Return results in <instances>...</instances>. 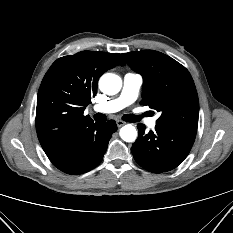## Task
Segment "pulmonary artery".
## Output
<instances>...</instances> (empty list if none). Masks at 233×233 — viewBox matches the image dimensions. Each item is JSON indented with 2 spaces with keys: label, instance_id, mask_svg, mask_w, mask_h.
I'll list each match as a JSON object with an SVG mask.
<instances>
[{
  "label": "pulmonary artery",
  "instance_id": "1",
  "mask_svg": "<svg viewBox=\"0 0 233 233\" xmlns=\"http://www.w3.org/2000/svg\"><path fill=\"white\" fill-rule=\"evenodd\" d=\"M143 79L140 75L134 73H127L123 79V87L119 97L95 105L93 110L101 113H115L128 105L132 104L138 97ZM148 127L153 128L156 125V117L145 119Z\"/></svg>",
  "mask_w": 233,
  "mask_h": 233
}]
</instances>
